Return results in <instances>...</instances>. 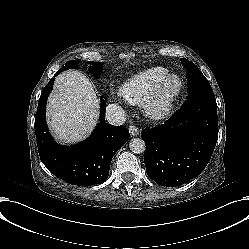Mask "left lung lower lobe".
Listing matches in <instances>:
<instances>
[{
  "instance_id": "left-lung-lower-lobe-1",
  "label": "left lung lower lobe",
  "mask_w": 249,
  "mask_h": 249,
  "mask_svg": "<svg viewBox=\"0 0 249 249\" xmlns=\"http://www.w3.org/2000/svg\"><path fill=\"white\" fill-rule=\"evenodd\" d=\"M147 175L157 184L179 186L199 175L218 139L213 93L189 95L182 109L163 125L142 131Z\"/></svg>"
}]
</instances>
